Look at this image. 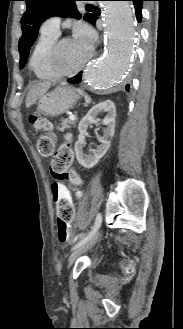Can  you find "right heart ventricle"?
<instances>
[{"instance_id":"e07e8e85","label":"right heart ventricle","mask_w":183,"mask_h":329,"mask_svg":"<svg viewBox=\"0 0 183 329\" xmlns=\"http://www.w3.org/2000/svg\"><path fill=\"white\" fill-rule=\"evenodd\" d=\"M57 38V34L41 31L32 49L29 66L40 80H52L55 78L48 67V55Z\"/></svg>"}]
</instances>
